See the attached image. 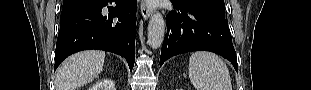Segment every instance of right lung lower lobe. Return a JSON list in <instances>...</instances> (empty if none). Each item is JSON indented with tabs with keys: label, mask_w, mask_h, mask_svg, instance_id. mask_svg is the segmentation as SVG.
I'll use <instances>...</instances> for the list:
<instances>
[{
	"label": "right lung lower lobe",
	"mask_w": 311,
	"mask_h": 90,
	"mask_svg": "<svg viewBox=\"0 0 311 90\" xmlns=\"http://www.w3.org/2000/svg\"><path fill=\"white\" fill-rule=\"evenodd\" d=\"M108 14L103 9L108 3ZM137 0H80L62 9L54 70L69 55L100 49L121 55L130 70L135 60Z\"/></svg>",
	"instance_id": "right-lung-lower-lobe-1"
}]
</instances>
